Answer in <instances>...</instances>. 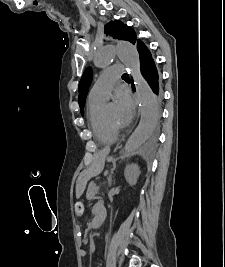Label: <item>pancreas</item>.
<instances>
[{
  "mask_svg": "<svg viewBox=\"0 0 225 267\" xmlns=\"http://www.w3.org/2000/svg\"><path fill=\"white\" fill-rule=\"evenodd\" d=\"M98 191V187L94 184V182H91L88 186L87 192H86V198L88 200H92L95 197V194Z\"/></svg>",
  "mask_w": 225,
  "mask_h": 267,
  "instance_id": "obj_1",
  "label": "pancreas"
}]
</instances>
